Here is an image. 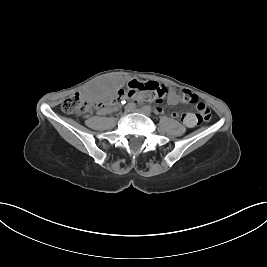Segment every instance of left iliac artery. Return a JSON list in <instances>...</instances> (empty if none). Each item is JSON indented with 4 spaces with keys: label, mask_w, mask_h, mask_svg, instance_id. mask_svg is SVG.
Segmentation results:
<instances>
[{
    "label": "left iliac artery",
    "mask_w": 267,
    "mask_h": 267,
    "mask_svg": "<svg viewBox=\"0 0 267 267\" xmlns=\"http://www.w3.org/2000/svg\"><path fill=\"white\" fill-rule=\"evenodd\" d=\"M144 109H146L147 111L151 112V108L149 106H144Z\"/></svg>",
    "instance_id": "left-iliac-artery-1"
}]
</instances>
